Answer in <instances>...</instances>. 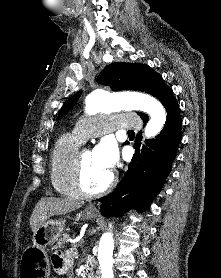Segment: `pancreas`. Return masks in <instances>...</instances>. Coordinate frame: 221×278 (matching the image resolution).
I'll return each instance as SVG.
<instances>
[{
	"label": "pancreas",
	"mask_w": 221,
	"mask_h": 278,
	"mask_svg": "<svg viewBox=\"0 0 221 278\" xmlns=\"http://www.w3.org/2000/svg\"><path fill=\"white\" fill-rule=\"evenodd\" d=\"M68 238L69 236L68 235H64L62 238H60L58 241H57V247H63L65 244L68 243ZM74 246H77V245H74Z\"/></svg>",
	"instance_id": "obj_1"
}]
</instances>
